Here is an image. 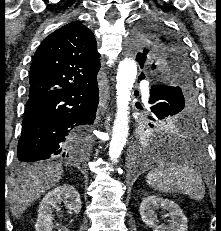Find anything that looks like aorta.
<instances>
[{"instance_id":"obj_1","label":"aorta","mask_w":221,"mask_h":231,"mask_svg":"<svg viewBox=\"0 0 221 231\" xmlns=\"http://www.w3.org/2000/svg\"><path fill=\"white\" fill-rule=\"evenodd\" d=\"M136 75L137 66L133 59L125 58L119 63L116 76L117 112L109 145V158L112 162L118 160L127 142L129 132V104Z\"/></svg>"}]
</instances>
